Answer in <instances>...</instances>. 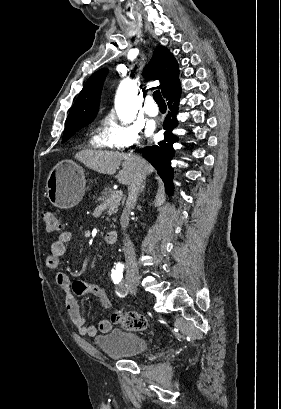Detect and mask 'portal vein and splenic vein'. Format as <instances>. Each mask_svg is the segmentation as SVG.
<instances>
[{
  "instance_id": "18ae733b",
  "label": "portal vein and splenic vein",
  "mask_w": 281,
  "mask_h": 409,
  "mask_svg": "<svg viewBox=\"0 0 281 409\" xmlns=\"http://www.w3.org/2000/svg\"><path fill=\"white\" fill-rule=\"evenodd\" d=\"M118 195L122 194L121 190L117 191ZM124 201V198L122 196H112L109 198V201L106 203L109 207H118L120 203H122ZM104 207V206H103Z\"/></svg>"
}]
</instances>
